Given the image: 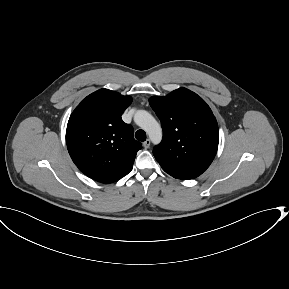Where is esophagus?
I'll use <instances>...</instances> for the list:
<instances>
[{
  "mask_svg": "<svg viewBox=\"0 0 289 289\" xmlns=\"http://www.w3.org/2000/svg\"><path fill=\"white\" fill-rule=\"evenodd\" d=\"M150 144H151V141L149 139H147L146 141L143 142V147L145 149H147V148H149Z\"/></svg>",
  "mask_w": 289,
  "mask_h": 289,
  "instance_id": "34e87169",
  "label": "esophagus"
}]
</instances>
